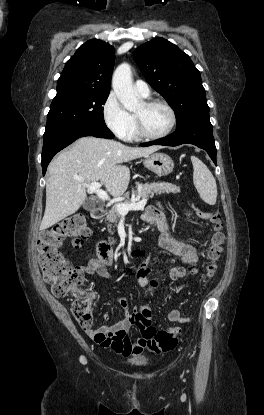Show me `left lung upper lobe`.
Segmentation results:
<instances>
[{"label": "left lung upper lobe", "mask_w": 264, "mask_h": 415, "mask_svg": "<svg viewBox=\"0 0 264 415\" xmlns=\"http://www.w3.org/2000/svg\"><path fill=\"white\" fill-rule=\"evenodd\" d=\"M146 81L172 106L177 126L196 114L209 113L201 75L176 45L155 38L134 51Z\"/></svg>", "instance_id": "1"}]
</instances>
